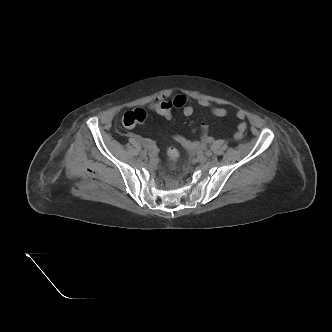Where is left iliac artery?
<instances>
[{
    "instance_id": "left-iliac-artery-1",
    "label": "left iliac artery",
    "mask_w": 332,
    "mask_h": 332,
    "mask_svg": "<svg viewBox=\"0 0 332 332\" xmlns=\"http://www.w3.org/2000/svg\"><path fill=\"white\" fill-rule=\"evenodd\" d=\"M205 155H206L207 157H210V156H212V153H211V151L206 150V151H205Z\"/></svg>"
}]
</instances>
